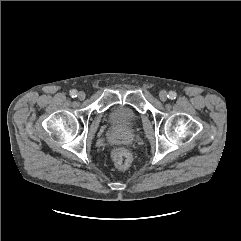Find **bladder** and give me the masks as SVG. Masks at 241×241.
<instances>
[{
  "label": "bladder",
  "mask_w": 241,
  "mask_h": 241,
  "mask_svg": "<svg viewBox=\"0 0 241 241\" xmlns=\"http://www.w3.org/2000/svg\"><path fill=\"white\" fill-rule=\"evenodd\" d=\"M107 121L112 129L118 132H127L136 125L138 115L133 109L119 105L109 110Z\"/></svg>",
  "instance_id": "1"
}]
</instances>
